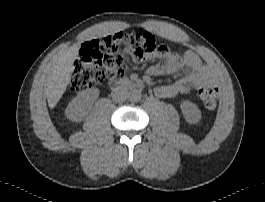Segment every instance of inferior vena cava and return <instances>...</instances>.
<instances>
[{
  "label": "inferior vena cava",
  "mask_w": 265,
  "mask_h": 202,
  "mask_svg": "<svg viewBox=\"0 0 265 202\" xmlns=\"http://www.w3.org/2000/svg\"><path fill=\"white\" fill-rule=\"evenodd\" d=\"M129 92L124 87H117L113 89L111 96L116 103H123L129 98Z\"/></svg>",
  "instance_id": "602c4592"
}]
</instances>
